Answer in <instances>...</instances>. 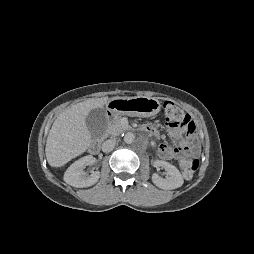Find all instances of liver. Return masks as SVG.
<instances>
[{
	"instance_id": "1",
	"label": "liver",
	"mask_w": 254,
	"mask_h": 254,
	"mask_svg": "<svg viewBox=\"0 0 254 254\" xmlns=\"http://www.w3.org/2000/svg\"><path fill=\"white\" fill-rule=\"evenodd\" d=\"M110 98H91L72 105L54 121L46 141V158L50 166L61 167L85 152L91 144L86 116L92 109L103 108Z\"/></svg>"
}]
</instances>
